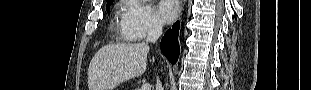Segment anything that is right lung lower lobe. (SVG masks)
Returning <instances> with one entry per match:
<instances>
[{
	"label": "right lung lower lobe",
	"instance_id": "obj_1",
	"mask_svg": "<svg viewBox=\"0 0 311 90\" xmlns=\"http://www.w3.org/2000/svg\"><path fill=\"white\" fill-rule=\"evenodd\" d=\"M178 32H179V22H176L172 29H169L160 43V49L162 53L171 61L172 64L176 63L178 60V55L180 52L178 44Z\"/></svg>",
	"mask_w": 311,
	"mask_h": 90
}]
</instances>
